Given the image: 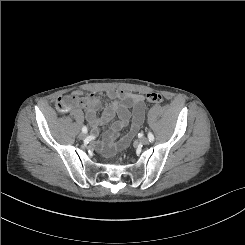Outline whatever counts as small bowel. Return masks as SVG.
Here are the masks:
<instances>
[{"instance_id": "c3829d8e", "label": "small bowel", "mask_w": 245, "mask_h": 245, "mask_svg": "<svg viewBox=\"0 0 245 245\" xmlns=\"http://www.w3.org/2000/svg\"><path fill=\"white\" fill-rule=\"evenodd\" d=\"M106 94L108 98L112 100V103L105 107L100 117L97 116L99 100L93 93L85 96L84 103L77 107L85 109L86 119L92 127V134L94 136L98 134L99 128L102 125L110 122L115 116L118 117V120L112 124L111 130L99 145L102 149L113 150L116 147L125 146L139 130L144 121L145 104L143 96L137 93L118 89H109ZM129 122H131L129 134L124 140L116 144L114 141L117 134L127 126Z\"/></svg>"}]
</instances>
